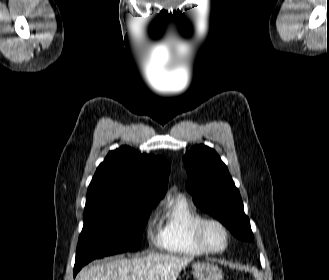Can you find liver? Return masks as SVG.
Listing matches in <instances>:
<instances>
[{"label":"liver","mask_w":329,"mask_h":280,"mask_svg":"<svg viewBox=\"0 0 329 280\" xmlns=\"http://www.w3.org/2000/svg\"><path fill=\"white\" fill-rule=\"evenodd\" d=\"M192 257L149 254L119 258L85 267L76 280H177Z\"/></svg>","instance_id":"liver-1"}]
</instances>
